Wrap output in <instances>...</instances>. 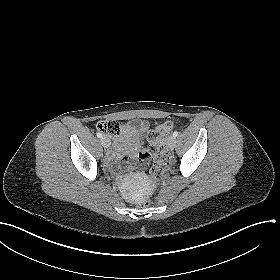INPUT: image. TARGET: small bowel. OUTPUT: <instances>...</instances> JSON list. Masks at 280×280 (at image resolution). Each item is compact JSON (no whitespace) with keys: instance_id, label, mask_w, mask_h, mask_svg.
Instances as JSON below:
<instances>
[{"instance_id":"c3829d8e","label":"small bowel","mask_w":280,"mask_h":280,"mask_svg":"<svg viewBox=\"0 0 280 280\" xmlns=\"http://www.w3.org/2000/svg\"><path fill=\"white\" fill-rule=\"evenodd\" d=\"M149 126L145 120H135L126 126L125 133L131 131L132 128L138 127L142 130ZM150 155L143 147L140 140H133L131 145H126L122 137H117L114 140V147L106 156V161L111 164L114 160H119L125 164L145 167L147 165Z\"/></svg>"}]
</instances>
